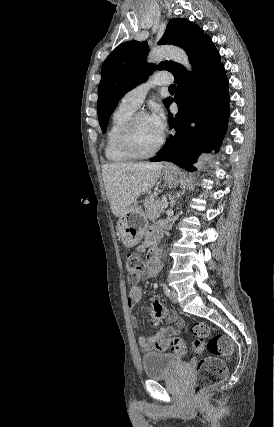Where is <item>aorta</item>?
Instances as JSON below:
<instances>
[{
    "label": "aorta",
    "instance_id": "obj_1",
    "mask_svg": "<svg viewBox=\"0 0 274 427\" xmlns=\"http://www.w3.org/2000/svg\"><path fill=\"white\" fill-rule=\"evenodd\" d=\"M167 58L182 64L189 71L191 70V64L186 52L174 46H161L152 49L148 55L147 61L149 63H157ZM192 126H194V124H192Z\"/></svg>",
    "mask_w": 274,
    "mask_h": 427
}]
</instances>
